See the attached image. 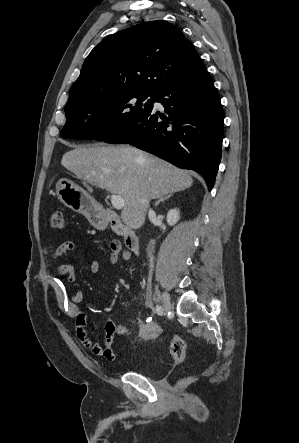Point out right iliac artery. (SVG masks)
Listing matches in <instances>:
<instances>
[{
  "mask_svg": "<svg viewBox=\"0 0 299 443\" xmlns=\"http://www.w3.org/2000/svg\"><path fill=\"white\" fill-rule=\"evenodd\" d=\"M156 312L158 315H162L163 314V309L160 305H156Z\"/></svg>",
  "mask_w": 299,
  "mask_h": 443,
  "instance_id": "1",
  "label": "right iliac artery"
}]
</instances>
